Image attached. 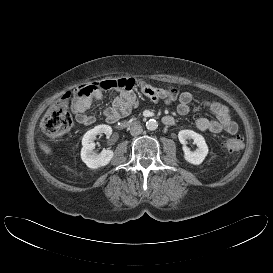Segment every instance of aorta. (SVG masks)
Returning a JSON list of instances; mask_svg holds the SVG:
<instances>
[{
    "mask_svg": "<svg viewBox=\"0 0 273 273\" xmlns=\"http://www.w3.org/2000/svg\"><path fill=\"white\" fill-rule=\"evenodd\" d=\"M158 127V123L155 119H150L146 122V128L150 131L156 130Z\"/></svg>",
    "mask_w": 273,
    "mask_h": 273,
    "instance_id": "obj_1",
    "label": "aorta"
}]
</instances>
